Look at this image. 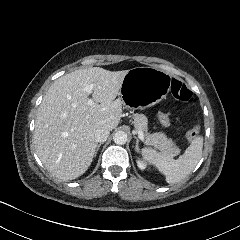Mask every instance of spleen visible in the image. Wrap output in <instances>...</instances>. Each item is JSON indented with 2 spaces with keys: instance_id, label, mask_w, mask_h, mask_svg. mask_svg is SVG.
<instances>
[{
  "instance_id": "1",
  "label": "spleen",
  "mask_w": 240,
  "mask_h": 240,
  "mask_svg": "<svg viewBox=\"0 0 240 240\" xmlns=\"http://www.w3.org/2000/svg\"><path fill=\"white\" fill-rule=\"evenodd\" d=\"M202 149L203 138L198 136L176 160L150 147L142 148L141 154L145 161L156 166L165 175L167 183L175 184L193 171L201 158Z\"/></svg>"
}]
</instances>
